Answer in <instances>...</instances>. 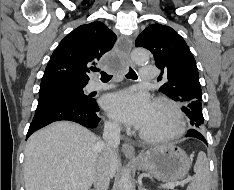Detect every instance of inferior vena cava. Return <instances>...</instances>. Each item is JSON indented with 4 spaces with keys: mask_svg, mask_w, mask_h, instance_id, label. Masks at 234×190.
I'll use <instances>...</instances> for the list:
<instances>
[{
    "mask_svg": "<svg viewBox=\"0 0 234 190\" xmlns=\"http://www.w3.org/2000/svg\"><path fill=\"white\" fill-rule=\"evenodd\" d=\"M103 139L94 173V190H108L111 177L110 160L116 154V149L120 144L119 124L105 123Z\"/></svg>",
    "mask_w": 234,
    "mask_h": 190,
    "instance_id": "602c4592",
    "label": "inferior vena cava"
}]
</instances>
